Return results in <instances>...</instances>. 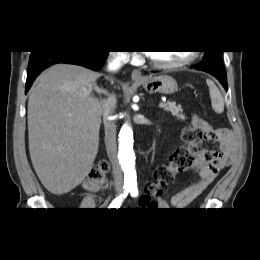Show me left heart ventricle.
Segmentation results:
<instances>
[{
  "label": "left heart ventricle",
  "mask_w": 260,
  "mask_h": 260,
  "mask_svg": "<svg viewBox=\"0 0 260 260\" xmlns=\"http://www.w3.org/2000/svg\"><path fill=\"white\" fill-rule=\"evenodd\" d=\"M151 57L161 63H171L184 59L189 52L182 51H155L150 53Z\"/></svg>",
  "instance_id": "b2bd125f"
}]
</instances>
